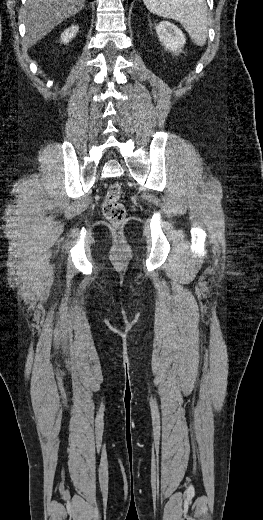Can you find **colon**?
<instances>
[{"mask_svg": "<svg viewBox=\"0 0 263 520\" xmlns=\"http://www.w3.org/2000/svg\"><path fill=\"white\" fill-rule=\"evenodd\" d=\"M122 188L114 183L108 186L102 211L104 217L114 225H120L126 218V208L122 202Z\"/></svg>", "mask_w": 263, "mask_h": 520, "instance_id": "5ec220e1", "label": "colon"}]
</instances>
